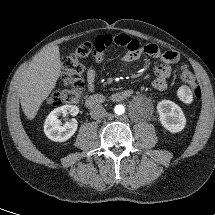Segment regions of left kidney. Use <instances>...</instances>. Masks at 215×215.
<instances>
[{
	"label": "left kidney",
	"mask_w": 215,
	"mask_h": 215,
	"mask_svg": "<svg viewBox=\"0 0 215 215\" xmlns=\"http://www.w3.org/2000/svg\"><path fill=\"white\" fill-rule=\"evenodd\" d=\"M159 120L162 126L171 133L182 131L186 125V117L182 109L170 100H162L157 104Z\"/></svg>",
	"instance_id": "1"
}]
</instances>
